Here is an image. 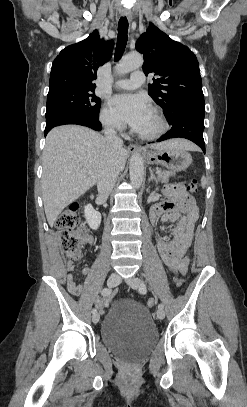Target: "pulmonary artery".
<instances>
[{
    "instance_id": "pulmonary-artery-1",
    "label": "pulmonary artery",
    "mask_w": 247,
    "mask_h": 407,
    "mask_svg": "<svg viewBox=\"0 0 247 407\" xmlns=\"http://www.w3.org/2000/svg\"><path fill=\"white\" fill-rule=\"evenodd\" d=\"M145 76L142 71H136L129 78L120 79L115 82V86L120 89L132 90L143 84Z\"/></svg>"
}]
</instances>
